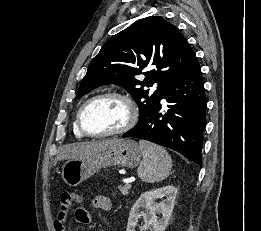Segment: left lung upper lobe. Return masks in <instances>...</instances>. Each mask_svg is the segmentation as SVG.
I'll return each instance as SVG.
<instances>
[{
  "label": "left lung upper lobe",
  "instance_id": "5c2ea615",
  "mask_svg": "<svg viewBox=\"0 0 261 231\" xmlns=\"http://www.w3.org/2000/svg\"><path fill=\"white\" fill-rule=\"evenodd\" d=\"M196 60L186 38L161 16L137 20L113 36L89 64L77 98L94 88L114 83L124 87L137 102L139 119L162 98L167 84L185 73ZM144 72V80L137 75ZM158 83L157 89H149Z\"/></svg>",
  "mask_w": 261,
  "mask_h": 231
}]
</instances>
